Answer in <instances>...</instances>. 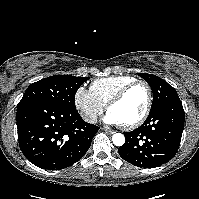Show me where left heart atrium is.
Segmentation results:
<instances>
[{"label":"left heart atrium","mask_w":199,"mask_h":199,"mask_svg":"<svg viewBox=\"0 0 199 199\" xmlns=\"http://www.w3.org/2000/svg\"><path fill=\"white\" fill-rule=\"evenodd\" d=\"M103 121L107 124H112V125L121 124L118 118L114 116L110 111L107 112V114L104 116Z\"/></svg>","instance_id":"39dd6f15"}]
</instances>
